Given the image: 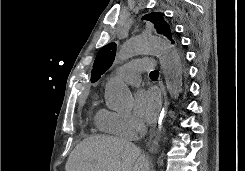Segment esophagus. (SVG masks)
Returning <instances> with one entry per match:
<instances>
[{"label": "esophagus", "mask_w": 245, "mask_h": 171, "mask_svg": "<svg viewBox=\"0 0 245 171\" xmlns=\"http://www.w3.org/2000/svg\"><path fill=\"white\" fill-rule=\"evenodd\" d=\"M159 85H160L161 92H162L161 107H160V111L158 113V118H157L151 132H150V138H149V142H148V145L150 146V150L152 152L157 151V149H158V144L155 141L152 142V140L161 131L162 125H163V123L167 117V111H168V107H169V99H168L167 92L165 90V87H164L162 81H159Z\"/></svg>", "instance_id": "esophagus-1"}]
</instances>
